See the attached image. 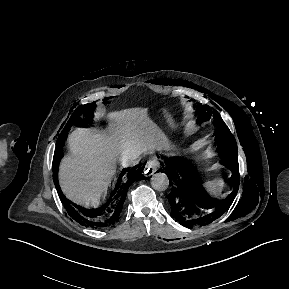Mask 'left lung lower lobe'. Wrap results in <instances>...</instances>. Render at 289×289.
Returning <instances> with one entry per match:
<instances>
[{"label": "left lung lower lobe", "mask_w": 289, "mask_h": 289, "mask_svg": "<svg viewBox=\"0 0 289 289\" xmlns=\"http://www.w3.org/2000/svg\"><path fill=\"white\" fill-rule=\"evenodd\" d=\"M233 192L225 200L201 195L192 180L193 168L184 157H170L165 170L172 190L167 195L171 216L188 228L207 225L218 219L233 202L239 186L238 165H231ZM163 171V170H162Z\"/></svg>", "instance_id": "1"}]
</instances>
